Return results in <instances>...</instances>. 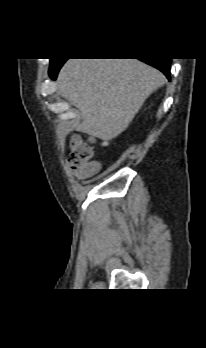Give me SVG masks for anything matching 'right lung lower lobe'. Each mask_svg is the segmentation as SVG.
Returning <instances> with one entry per match:
<instances>
[{"instance_id":"98d812e1","label":"right lung lower lobe","mask_w":206,"mask_h":348,"mask_svg":"<svg viewBox=\"0 0 206 348\" xmlns=\"http://www.w3.org/2000/svg\"><path fill=\"white\" fill-rule=\"evenodd\" d=\"M143 62L159 69L161 72H163L168 80L171 79L170 77V65H171V59L165 58V59H159V58H146V59H140ZM66 60H61L57 64L53 65L49 69V74L52 79H55L57 76V73L61 66L64 64Z\"/></svg>"}]
</instances>
